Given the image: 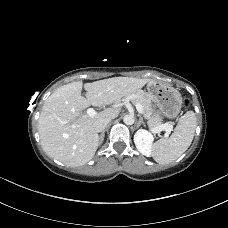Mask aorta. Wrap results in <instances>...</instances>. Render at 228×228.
<instances>
[{
	"instance_id": "762f6f07",
	"label": "aorta",
	"mask_w": 228,
	"mask_h": 228,
	"mask_svg": "<svg viewBox=\"0 0 228 228\" xmlns=\"http://www.w3.org/2000/svg\"><path fill=\"white\" fill-rule=\"evenodd\" d=\"M123 121L126 125H132L134 124L135 119L133 115H125Z\"/></svg>"
}]
</instances>
